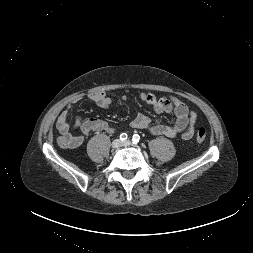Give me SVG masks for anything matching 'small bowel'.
Returning a JSON list of instances; mask_svg holds the SVG:
<instances>
[{
  "label": "small bowel",
  "mask_w": 253,
  "mask_h": 253,
  "mask_svg": "<svg viewBox=\"0 0 253 253\" xmlns=\"http://www.w3.org/2000/svg\"><path fill=\"white\" fill-rule=\"evenodd\" d=\"M89 99L101 108H108L111 105V97L103 91L93 92L89 95ZM125 99V98H124ZM140 99L151 105L157 113L174 112L176 121L173 126L154 123L148 116L139 114L131 123L134 129L146 130L153 136H166L169 138L180 137L183 140H188L194 133L196 123V114L189 107L174 96L168 95L156 97L151 93L143 92L140 94ZM80 101L79 97L74 98L61 113L57 120V129L67 142V148H77L81 146L85 138L92 132L105 131L113 133L115 128L108 122L90 118L83 120L81 116L76 115L74 123L71 126L68 116L73 107ZM71 129H80L82 134L73 135Z\"/></svg>",
  "instance_id": "obj_1"
}]
</instances>
